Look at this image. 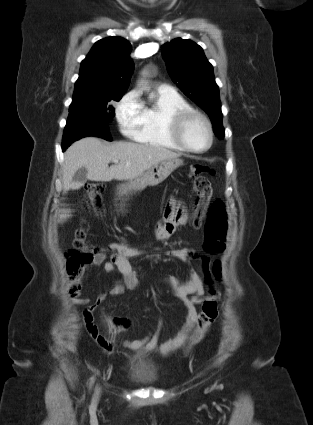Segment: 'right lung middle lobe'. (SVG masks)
Instances as JSON below:
<instances>
[{
	"label": "right lung middle lobe",
	"mask_w": 313,
	"mask_h": 425,
	"mask_svg": "<svg viewBox=\"0 0 313 425\" xmlns=\"http://www.w3.org/2000/svg\"><path fill=\"white\" fill-rule=\"evenodd\" d=\"M124 93H112L99 96L73 98L69 108L67 124H72L77 116H90L108 123L114 117L113 101H119Z\"/></svg>",
	"instance_id": "1"
}]
</instances>
